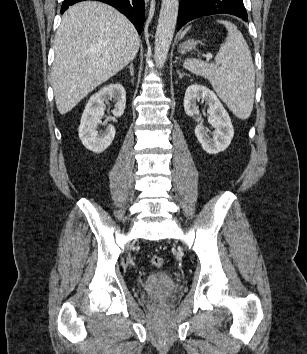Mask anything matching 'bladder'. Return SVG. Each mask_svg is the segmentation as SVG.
Listing matches in <instances>:
<instances>
[{
  "label": "bladder",
  "mask_w": 307,
  "mask_h": 354,
  "mask_svg": "<svg viewBox=\"0 0 307 354\" xmlns=\"http://www.w3.org/2000/svg\"><path fill=\"white\" fill-rule=\"evenodd\" d=\"M143 288L149 295L169 296L177 288L174 279L166 272H154L143 283Z\"/></svg>",
  "instance_id": "1"
}]
</instances>
